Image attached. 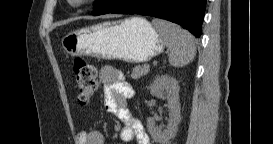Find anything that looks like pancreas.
<instances>
[{
	"label": "pancreas",
	"mask_w": 273,
	"mask_h": 144,
	"mask_svg": "<svg viewBox=\"0 0 273 144\" xmlns=\"http://www.w3.org/2000/svg\"><path fill=\"white\" fill-rule=\"evenodd\" d=\"M148 72H149V69L146 68V65H143V66L138 65L133 68L131 77L133 79H139L140 77L147 75Z\"/></svg>",
	"instance_id": "cf45deb5"
}]
</instances>
